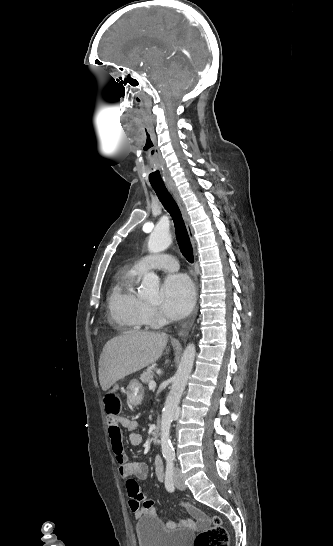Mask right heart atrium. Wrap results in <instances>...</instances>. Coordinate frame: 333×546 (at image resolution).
Here are the masks:
<instances>
[{
	"instance_id": "d8ad5b80",
	"label": "right heart atrium",
	"mask_w": 333,
	"mask_h": 546,
	"mask_svg": "<svg viewBox=\"0 0 333 546\" xmlns=\"http://www.w3.org/2000/svg\"><path fill=\"white\" fill-rule=\"evenodd\" d=\"M142 316L146 323L151 325H157L160 324L163 321V317L161 313L158 311V309L150 304L144 303L142 305Z\"/></svg>"
}]
</instances>
